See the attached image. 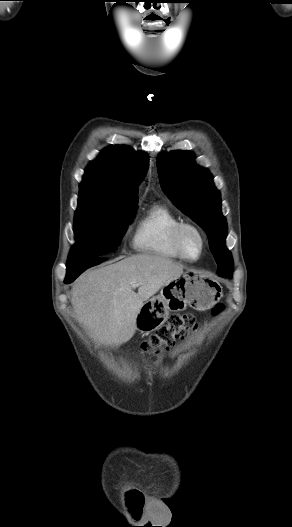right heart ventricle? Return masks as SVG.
Listing matches in <instances>:
<instances>
[{
    "label": "right heart ventricle",
    "mask_w": 292,
    "mask_h": 527,
    "mask_svg": "<svg viewBox=\"0 0 292 527\" xmlns=\"http://www.w3.org/2000/svg\"><path fill=\"white\" fill-rule=\"evenodd\" d=\"M181 217L165 204H154L140 217L134 237L135 250L169 259H181L173 243V232Z\"/></svg>",
    "instance_id": "e07e8e85"
}]
</instances>
